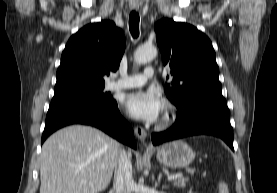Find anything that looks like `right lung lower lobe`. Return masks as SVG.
Returning a JSON list of instances; mask_svg holds the SVG:
<instances>
[{
	"mask_svg": "<svg viewBox=\"0 0 277 193\" xmlns=\"http://www.w3.org/2000/svg\"><path fill=\"white\" fill-rule=\"evenodd\" d=\"M70 124L97 127L136 149L131 126L122 118L116 101L102 103L72 95H54L46 117L41 143L54 131Z\"/></svg>",
	"mask_w": 277,
	"mask_h": 193,
	"instance_id": "obj_1",
	"label": "right lung lower lobe"
}]
</instances>
